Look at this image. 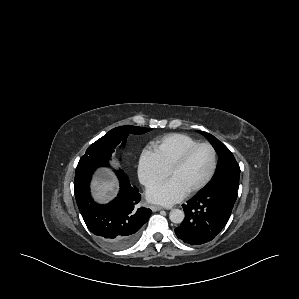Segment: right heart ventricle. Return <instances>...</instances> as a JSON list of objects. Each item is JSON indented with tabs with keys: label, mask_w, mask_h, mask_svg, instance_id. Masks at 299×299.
<instances>
[{
	"label": "right heart ventricle",
	"mask_w": 299,
	"mask_h": 299,
	"mask_svg": "<svg viewBox=\"0 0 299 299\" xmlns=\"http://www.w3.org/2000/svg\"><path fill=\"white\" fill-rule=\"evenodd\" d=\"M196 143L198 141L191 136L172 133L156 139L151 143V147L161 165L169 172V169L181 154Z\"/></svg>",
	"instance_id": "obj_1"
}]
</instances>
